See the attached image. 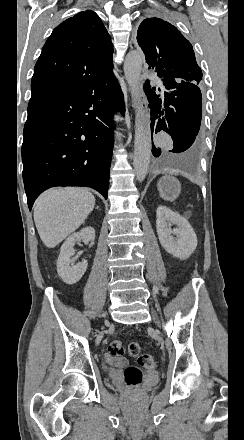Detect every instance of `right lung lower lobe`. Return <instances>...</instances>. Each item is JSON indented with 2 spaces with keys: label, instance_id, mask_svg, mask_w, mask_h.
<instances>
[{
  "label": "right lung lower lobe",
  "instance_id": "right-lung-lower-lobe-1",
  "mask_svg": "<svg viewBox=\"0 0 244 440\" xmlns=\"http://www.w3.org/2000/svg\"><path fill=\"white\" fill-rule=\"evenodd\" d=\"M116 87L109 70L32 92L22 144L30 210L36 198L54 186L91 187L107 199L112 116L116 109L124 113L123 96Z\"/></svg>",
  "mask_w": 244,
  "mask_h": 440
}]
</instances>
